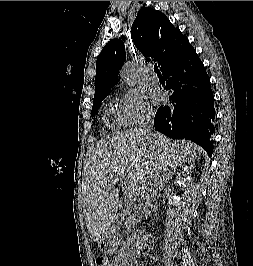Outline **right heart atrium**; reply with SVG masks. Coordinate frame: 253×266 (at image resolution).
Masks as SVG:
<instances>
[{
    "mask_svg": "<svg viewBox=\"0 0 253 266\" xmlns=\"http://www.w3.org/2000/svg\"><path fill=\"white\" fill-rule=\"evenodd\" d=\"M119 112L125 124L130 126L146 122L153 115V109L146 94L135 88H128L123 91Z\"/></svg>",
    "mask_w": 253,
    "mask_h": 266,
    "instance_id": "d8ad5b80",
    "label": "right heart atrium"
}]
</instances>
